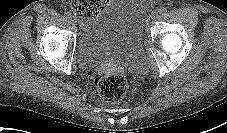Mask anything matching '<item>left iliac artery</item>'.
<instances>
[{
	"instance_id": "1",
	"label": "left iliac artery",
	"mask_w": 227,
	"mask_h": 133,
	"mask_svg": "<svg viewBox=\"0 0 227 133\" xmlns=\"http://www.w3.org/2000/svg\"><path fill=\"white\" fill-rule=\"evenodd\" d=\"M158 12H159L160 14H166V13H167V8L162 7V8H160V9L158 10Z\"/></svg>"
}]
</instances>
